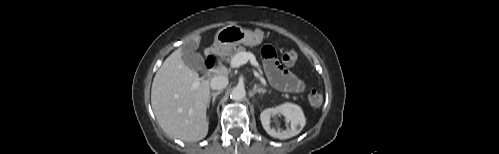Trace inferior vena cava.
I'll use <instances>...</instances> for the list:
<instances>
[{
    "label": "inferior vena cava",
    "mask_w": 499,
    "mask_h": 154,
    "mask_svg": "<svg viewBox=\"0 0 499 154\" xmlns=\"http://www.w3.org/2000/svg\"><path fill=\"white\" fill-rule=\"evenodd\" d=\"M228 78L226 76H215L210 81L211 89L222 90L228 85Z\"/></svg>",
    "instance_id": "inferior-vena-cava-1"
}]
</instances>
